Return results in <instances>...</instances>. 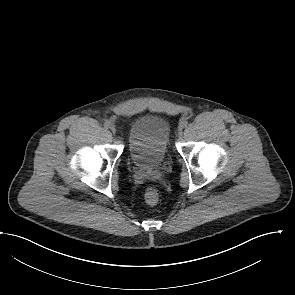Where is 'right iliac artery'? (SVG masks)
Instances as JSON below:
<instances>
[{
  "mask_svg": "<svg viewBox=\"0 0 295 295\" xmlns=\"http://www.w3.org/2000/svg\"><path fill=\"white\" fill-rule=\"evenodd\" d=\"M104 127H105L106 129L110 128V127H111L110 122H105V123H104Z\"/></svg>",
  "mask_w": 295,
  "mask_h": 295,
  "instance_id": "right-iliac-artery-1",
  "label": "right iliac artery"
}]
</instances>
